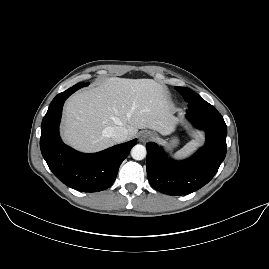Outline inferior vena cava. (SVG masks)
Segmentation results:
<instances>
[{
  "instance_id": "inferior-vena-cava-1",
  "label": "inferior vena cava",
  "mask_w": 269,
  "mask_h": 269,
  "mask_svg": "<svg viewBox=\"0 0 269 269\" xmlns=\"http://www.w3.org/2000/svg\"><path fill=\"white\" fill-rule=\"evenodd\" d=\"M108 131L110 133V137L115 142H122L126 140L127 135H128V130L125 127H121V126L110 127L108 128Z\"/></svg>"
}]
</instances>
